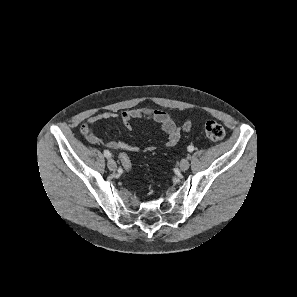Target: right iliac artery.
I'll return each instance as SVG.
<instances>
[{"mask_svg":"<svg viewBox=\"0 0 297 297\" xmlns=\"http://www.w3.org/2000/svg\"><path fill=\"white\" fill-rule=\"evenodd\" d=\"M104 156L106 158H110L111 157V153L108 150H104Z\"/></svg>","mask_w":297,"mask_h":297,"instance_id":"1","label":"right iliac artery"}]
</instances>
